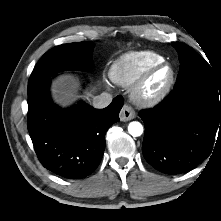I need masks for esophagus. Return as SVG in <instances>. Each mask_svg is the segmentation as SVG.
I'll use <instances>...</instances> for the list:
<instances>
[{"mask_svg":"<svg viewBox=\"0 0 221 221\" xmlns=\"http://www.w3.org/2000/svg\"><path fill=\"white\" fill-rule=\"evenodd\" d=\"M121 121H129L136 117L135 111L129 105H124L119 114Z\"/></svg>","mask_w":221,"mask_h":221,"instance_id":"34e87169","label":"esophagus"}]
</instances>
